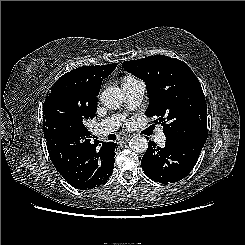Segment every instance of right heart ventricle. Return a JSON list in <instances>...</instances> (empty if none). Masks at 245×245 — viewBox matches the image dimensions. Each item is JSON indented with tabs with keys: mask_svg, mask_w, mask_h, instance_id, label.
<instances>
[{
	"mask_svg": "<svg viewBox=\"0 0 245 245\" xmlns=\"http://www.w3.org/2000/svg\"><path fill=\"white\" fill-rule=\"evenodd\" d=\"M133 80H136L134 77L132 76H125L123 79H122V83H127V82H131Z\"/></svg>",
	"mask_w": 245,
	"mask_h": 245,
	"instance_id": "right-heart-ventricle-1",
	"label": "right heart ventricle"
}]
</instances>
